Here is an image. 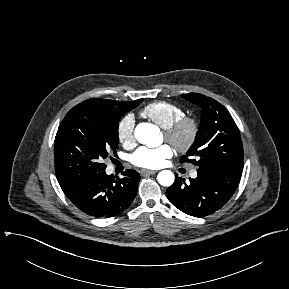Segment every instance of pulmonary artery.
<instances>
[{
  "label": "pulmonary artery",
  "instance_id": "e3ab8cb5",
  "mask_svg": "<svg viewBox=\"0 0 289 289\" xmlns=\"http://www.w3.org/2000/svg\"><path fill=\"white\" fill-rule=\"evenodd\" d=\"M190 176H191L192 178L197 177V171H196V170H192V171L190 172Z\"/></svg>",
  "mask_w": 289,
  "mask_h": 289
}]
</instances>
